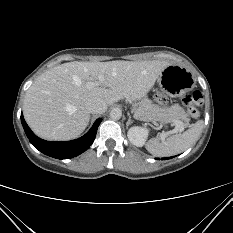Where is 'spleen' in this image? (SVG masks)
Wrapping results in <instances>:
<instances>
[{"mask_svg":"<svg viewBox=\"0 0 233 233\" xmlns=\"http://www.w3.org/2000/svg\"><path fill=\"white\" fill-rule=\"evenodd\" d=\"M203 121H197L182 134H175L167 139L156 138L146 144V149L157 157H168L179 154L194 144L200 137Z\"/></svg>","mask_w":233,"mask_h":233,"instance_id":"spleen-1","label":"spleen"}]
</instances>
